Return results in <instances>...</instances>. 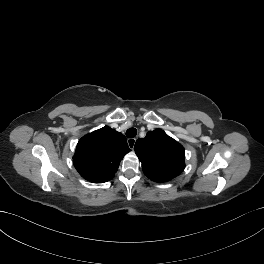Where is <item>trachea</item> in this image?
Returning a JSON list of instances; mask_svg holds the SVG:
<instances>
[{
    "instance_id": "trachea-1",
    "label": "trachea",
    "mask_w": 264,
    "mask_h": 264,
    "mask_svg": "<svg viewBox=\"0 0 264 264\" xmlns=\"http://www.w3.org/2000/svg\"><path fill=\"white\" fill-rule=\"evenodd\" d=\"M137 134V130L135 128H130L126 131V136L128 138H134Z\"/></svg>"
}]
</instances>
